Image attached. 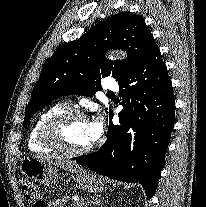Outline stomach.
<instances>
[{
    "label": "stomach",
    "instance_id": "1",
    "mask_svg": "<svg viewBox=\"0 0 206 207\" xmlns=\"http://www.w3.org/2000/svg\"><path fill=\"white\" fill-rule=\"evenodd\" d=\"M21 173L27 178L33 179L44 185H53L59 176V167L47 161H41L33 157L24 158L20 164ZM74 184L77 188L91 193L102 192L106 190V182L97 175L78 171L72 175Z\"/></svg>",
    "mask_w": 206,
    "mask_h": 207
}]
</instances>
